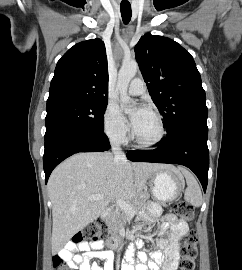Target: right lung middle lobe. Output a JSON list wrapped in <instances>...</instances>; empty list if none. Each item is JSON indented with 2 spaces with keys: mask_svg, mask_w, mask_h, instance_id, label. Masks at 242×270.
Listing matches in <instances>:
<instances>
[{
  "mask_svg": "<svg viewBox=\"0 0 242 270\" xmlns=\"http://www.w3.org/2000/svg\"><path fill=\"white\" fill-rule=\"evenodd\" d=\"M107 103L108 100H70L47 105L46 133L62 127L102 133Z\"/></svg>",
  "mask_w": 242,
  "mask_h": 270,
  "instance_id": "dd1d6c3e",
  "label": "right lung middle lobe"
}]
</instances>
